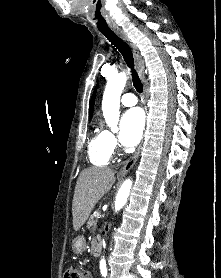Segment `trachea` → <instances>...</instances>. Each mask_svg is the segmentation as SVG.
<instances>
[{
	"label": "trachea",
	"instance_id": "trachea-1",
	"mask_svg": "<svg viewBox=\"0 0 221 278\" xmlns=\"http://www.w3.org/2000/svg\"><path fill=\"white\" fill-rule=\"evenodd\" d=\"M101 33L111 42V44H113L120 51L127 66L131 69L133 86L139 93H142L143 85L134 68L133 54L131 48L112 30H101Z\"/></svg>",
	"mask_w": 221,
	"mask_h": 278
}]
</instances>
